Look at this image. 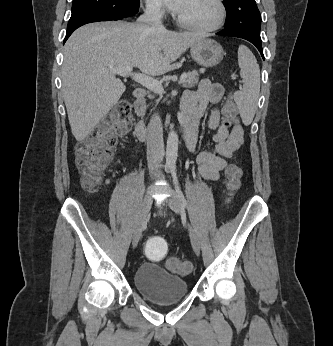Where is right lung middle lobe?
<instances>
[{
	"instance_id": "obj_1",
	"label": "right lung middle lobe",
	"mask_w": 333,
	"mask_h": 346,
	"mask_svg": "<svg viewBox=\"0 0 333 346\" xmlns=\"http://www.w3.org/2000/svg\"><path fill=\"white\" fill-rule=\"evenodd\" d=\"M139 4V0H73L67 27L89 16H132L138 12Z\"/></svg>"
}]
</instances>
